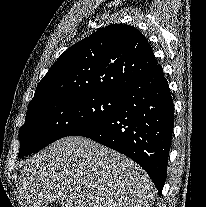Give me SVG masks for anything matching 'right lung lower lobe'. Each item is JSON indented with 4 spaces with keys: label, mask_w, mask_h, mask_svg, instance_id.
I'll return each instance as SVG.
<instances>
[{
    "label": "right lung lower lobe",
    "mask_w": 206,
    "mask_h": 207,
    "mask_svg": "<svg viewBox=\"0 0 206 207\" xmlns=\"http://www.w3.org/2000/svg\"><path fill=\"white\" fill-rule=\"evenodd\" d=\"M174 106L161 65L122 93L109 118L77 136L90 138L128 156L154 182L159 195L166 177L174 127Z\"/></svg>",
    "instance_id": "right-lung-lower-lobe-1"
}]
</instances>
